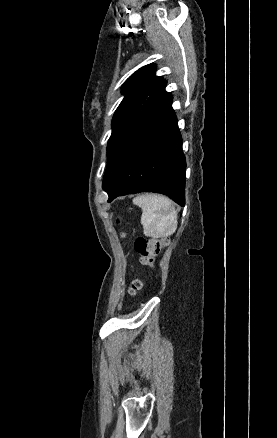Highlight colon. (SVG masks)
I'll return each instance as SVG.
<instances>
[{
	"label": "colon",
	"instance_id": "1",
	"mask_svg": "<svg viewBox=\"0 0 277 438\" xmlns=\"http://www.w3.org/2000/svg\"><path fill=\"white\" fill-rule=\"evenodd\" d=\"M164 243L144 235H139L135 241V249L141 255L142 265L151 267L155 261L156 255L163 249ZM142 287L140 279L132 281L129 293L133 294Z\"/></svg>",
	"mask_w": 277,
	"mask_h": 438
}]
</instances>
